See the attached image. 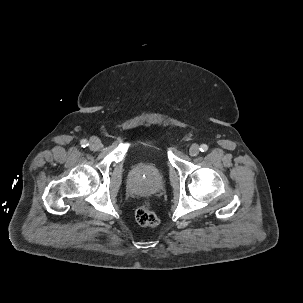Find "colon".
<instances>
[{
	"instance_id": "obj_1",
	"label": "colon",
	"mask_w": 303,
	"mask_h": 303,
	"mask_svg": "<svg viewBox=\"0 0 303 303\" xmlns=\"http://www.w3.org/2000/svg\"><path fill=\"white\" fill-rule=\"evenodd\" d=\"M137 223L144 227H155L159 223L157 215L148 203L139 206L135 212Z\"/></svg>"
}]
</instances>
